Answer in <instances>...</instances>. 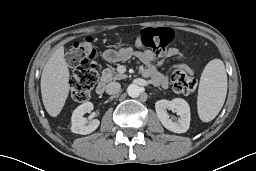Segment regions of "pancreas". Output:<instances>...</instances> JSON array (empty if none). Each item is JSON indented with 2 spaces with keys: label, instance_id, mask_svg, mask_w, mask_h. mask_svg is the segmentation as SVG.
<instances>
[{
  "label": "pancreas",
  "instance_id": "cf45deb5",
  "mask_svg": "<svg viewBox=\"0 0 256 171\" xmlns=\"http://www.w3.org/2000/svg\"><path fill=\"white\" fill-rule=\"evenodd\" d=\"M126 77V74L117 73L113 67H110L102 71L101 82L106 83L112 80L125 79Z\"/></svg>",
  "mask_w": 256,
  "mask_h": 171
}]
</instances>
